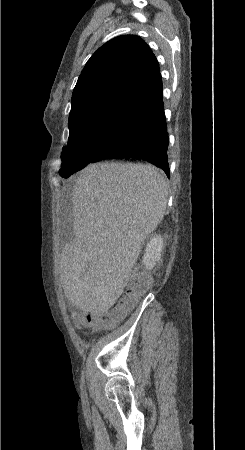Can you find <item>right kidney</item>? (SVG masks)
Wrapping results in <instances>:
<instances>
[{"label":"right kidney","mask_w":245,"mask_h":450,"mask_svg":"<svg viewBox=\"0 0 245 450\" xmlns=\"http://www.w3.org/2000/svg\"><path fill=\"white\" fill-rule=\"evenodd\" d=\"M163 249V238L161 236H154L146 246L145 254L143 256V264L146 269L153 268L161 259V252Z\"/></svg>","instance_id":"ca27d5eb"}]
</instances>
